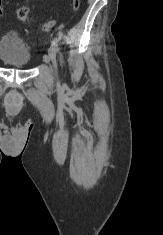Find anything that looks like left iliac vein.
<instances>
[{
    "label": "left iliac vein",
    "mask_w": 163,
    "mask_h": 235,
    "mask_svg": "<svg viewBox=\"0 0 163 235\" xmlns=\"http://www.w3.org/2000/svg\"><path fill=\"white\" fill-rule=\"evenodd\" d=\"M48 55H49V58L54 66V68H56L57 66V63H56V48L54 46H51L49 49H48Z\"/></svg>",
    "instance_id": "left-iliac-vein-1"
}]
</instances>
